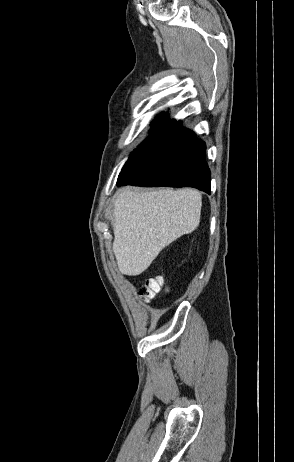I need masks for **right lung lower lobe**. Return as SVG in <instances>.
<instances>
[{"label": "right lung lower lobe", "instance_id": "right-lung-lower-lobe-1", "mask_svg": "<svg viewBox=\"0 0 294 462\" xmlns=\"http://www.w3.org/2000/svg\"><path fill=\"white\" fill-rule=\"evenodd\" d=\"M205 143L174 123L119 174L117 185L194 187L210 194Z\"/></svg>", "mask_w": 294, "mask_h": 462}]
</instances>
